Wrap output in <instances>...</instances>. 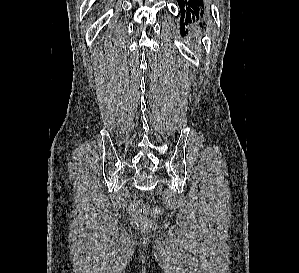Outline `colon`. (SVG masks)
Returning <instances> with one entry per match:
<instances>
[{
	"label": "colon",
	"instance_id": "obj_1",
	"mask_svg": "<svg viewBox=\"0 0 299 273\" xmlns=\"http://www.w3.org/2000/svg\"><path fill=\"white\" fill-rule=\"evenodd\" d=\"M139 213H152L154 215H158L160 213V210L158 208H155L153 210H150L149 208L147 207H137V206H133L132 208V215H133V218H134V221L138 224H141V225H147L146 222L142 221L141 219L138 218V214Z\"/></svg>",
	"mask_w": 299,
	"mask_h": 273
}]
</instances>
